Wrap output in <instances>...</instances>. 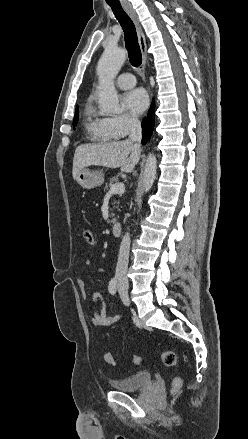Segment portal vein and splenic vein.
I'll return each instance as SVG.
<instances>
[{
	"label": "portal vein and splenic vein",
	"mask_w": 248,
	"mask_h": 439,
	"mask_svg": "<svg viewBox=\"0 0 248 439\" xmlns=\"http://www.w3.org/2000/svg\"><path fill=\"white\" fill-rule=\"evenodd\" d=\"M125 191V184L120 182V183H115L110 187L109 193L110 194H122Z\"/></svg>",
	"instance_id": "18ae733b"
}]
</instances>
